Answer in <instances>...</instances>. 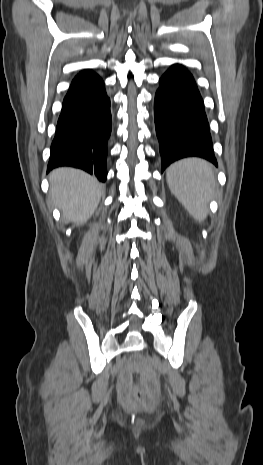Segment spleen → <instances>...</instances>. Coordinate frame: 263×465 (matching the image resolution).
<instances>
[{
	"mask_svg": "<svg viewBox=\"0 0 263 465\" xmlns=\"http://www.w3.org/2000/svg\"><path fill=\"white\" fill-rule=\"evenodd\" d=\"M171 192L191 216L203 221L207 202L216 185L212 166L199 158H187L172 164L167 172Z\"/></svg>",
	"mask_w": 263,
	"mask_h": 465,
	"instance_id": "spleen-1",
	"label": "spleen"
}]
</instances>
